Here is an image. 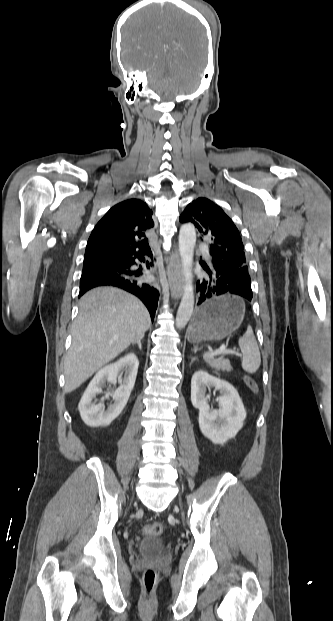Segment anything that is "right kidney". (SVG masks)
<instances>
[{
	"mask_svg": "<svg viewBox=\"0 0 333 621\" xmlns=\"http://www.w3.org/2000/svg\"><path fill=\"white\" fill-rule=\"evenodd\" d=\"M138 366L139 360L136 355L129 353L96 373L78 405L80 416L86 425L108 426L120 415L134 387ZM122 371L125 373L124 378H122V373L120 374ZM117 377H119L121 386L113 393L115 403L105 411L101 403L95 404L92 400L102 391L101 386L105 381L115 382ZM107 395L109 396L110 393L107 392Z\"/></svg>",
	"mask_w": 333,
	"mask_h": 621,
	"instance_id": "1",
	"label": "right kidney"
}]
</instances>
